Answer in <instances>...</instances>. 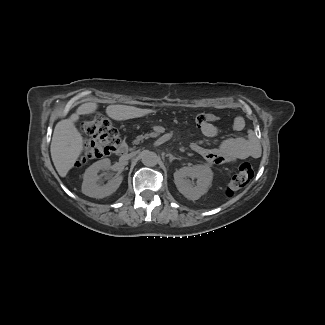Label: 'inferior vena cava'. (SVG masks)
Segmentation results:
<instances>
[{
	"mask_svg": "<svg viewBox=\"0 0 325 325\" xmlns=\"http://www.w3.org/2000/svg\"><path fill=\"white\" fill-rule=\"evenodd\" d=\"M132 157V154H127L123 156V159L128 160Z\"/></svg>",
	"mask_w": 325,
	"mask_h": 325,
	"instance_id": "602c4592",
	"label": "inferior vena cava"
}]
</instances>
